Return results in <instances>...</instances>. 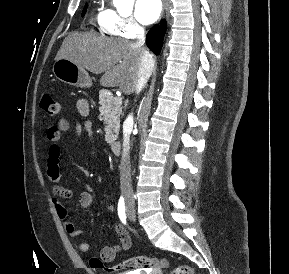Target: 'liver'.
I'll use <instances>...</instances> for the list:
<instances>
[{
	"label": "liver",
	"instance_id": "6515ba94",
	"mask_svg": "<svg viewBox=\"0 0 289 274\" xmlns=\"http://www.w3.org/2000/svg\"><path fill=\"white\" fill-rule=\"evenodd\" d=\"M144 49L121 38L94 33H70L55 60L65 58L94 73L102 74L103 86H119L129 94L134 90Z\"/></svg>",
	"mask_w": 289,
	"mask_h": 274
}]
</instances>
